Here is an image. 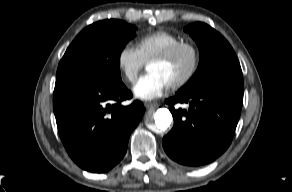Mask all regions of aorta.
Here are the masks:
<instances>
[{"label":"aorta","instance_id":"aorta-1","mask_svg":"<svg viewBox=\"0 0 292 192\" xmlns=\"http://www.w3.org/2000/svg\"><path fill=\"white\" fill-rule=\"evenodd\" d=\"M172 115L167 109H158L154 115V123L158 130H167L172 123Z\"/></svg>","mask_w":292,"mask_h":192}]
</instances>
